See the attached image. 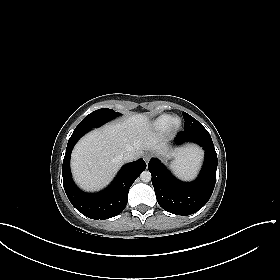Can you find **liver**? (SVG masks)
Instances as JSON below:
<instances>
[{
  "mask_svg": "<svg viewBox=\"0 0 280 280\" xmlns=\"http://www.w3.org/2000/svg\"><path fill=\"white\" fill-rule=\"evenodd\" d=\"M162 147V139L153 132L148 117L135 114L83 137L72 152L73 176L83 189L98 190L108 184L121 167L124 153L132 152L138 158L143 150L162 153ZM197 154L198 151L192 147L180 150L178 157Z\"/></svg>",
  "mask_w": 280,
  "mask_h": 280,
  "instance_id": "6515ba94",
  "label": "liver"
}]
</instances>
